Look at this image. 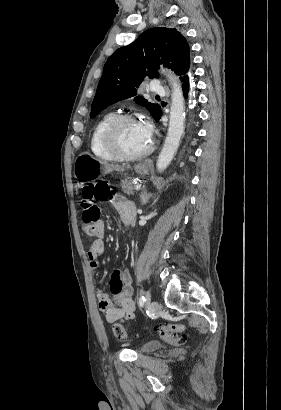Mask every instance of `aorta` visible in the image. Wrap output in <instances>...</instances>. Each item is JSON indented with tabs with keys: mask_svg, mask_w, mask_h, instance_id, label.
I'll return each mask as SVG.
<instances>
[{
	"mask_svg": "<svg viewBox=\"0 0 281 410\" xmlns=\"http://www.w3.org/2000/svg\"><path fill=\"white\" fill-rule=\"evenodd\" d=\"M165 74L170 82L172 94L168 133L156 163L159 172L164 171L171 163L185 128V103L180 81L171 71L167 70Z\"/></svg>",
	"mask_w": 281,
	"mask_h": 410,
	"instance_id": "1",
	"label": "aorta"
}]
</instances>
